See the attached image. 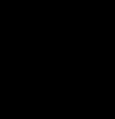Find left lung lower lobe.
Returning <instances> with one entry per match:
<instances>
[{"label":"left lung lower lobe","instance_id":"left-lung-lower-lobe-1","mask_svg":"<svg viewBox=\"0 0 115 119\" xmlns=\"http://www.w3.org/2000/svg\"><path fill=\"white\" fill-rule=\"evenodd\" d=\"M76 90L84 99L102 104L112 102L115 100V76L104 77L101 81L87 78Z\"/></svg>","mask_w":115,"mask_h":119}]
</instances>
